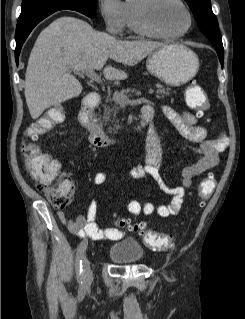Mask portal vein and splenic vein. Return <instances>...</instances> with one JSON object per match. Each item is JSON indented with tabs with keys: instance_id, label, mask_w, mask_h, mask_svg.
I'll return each mask as SVG.
<instances>
[{
	"instance_id": "18ae733b",
	"label": "portal vein and splenic vein",
	"mask_w": 245,
	"mask_h": 319,
	"mask_svg": "<svg viewBox=\"0 0 245 319\" xmlns=\"http://www.w3.org/2000/svg\"><path fill=\"white\" fill-rule=\"evenodd\" d=\"M78 73V72H76ZM79 74L83 75L85 74L87 77H89L90 79H92L93 81H96L98 83L101 82V77L95 72L94 69H89L86 71H81L79 72ZM153 89H150L148 91L149 94H153ZM114 98L116 99V101L121 105V106H126V105H135L141 102H144L146 99L143 98H138V99H134V100H130L128 97L123 96L122 94H120L118 91H116L114 93Z\"/></svg>"
}]
</instances>
